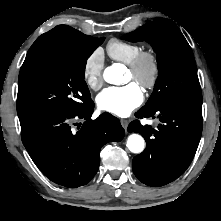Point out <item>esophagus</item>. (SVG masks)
I'll return each instance as SVG.
<instances>
[{
  "instance_id": "34e87169",
  "label": "esophagus",
  "mask_w": 221,
  "mask_h": 221,
  "mask_svg": "<svg viewBox=\"0 0 221 221\" xmlns=\"http://www.w3.org/2000/svg\"><path fill=\"white\" fill-rule=\"evenodd\" d=\"M120 122L123 128L126 130L128 127L129 121L127 119H121Z\"/></svg>"
}]
</instances>
